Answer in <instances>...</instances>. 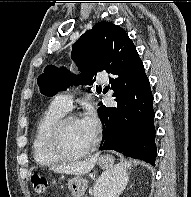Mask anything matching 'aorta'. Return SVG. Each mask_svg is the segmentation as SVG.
<instances>
[{"instance_id": "1", "label": "aorta", "mask_w": 191, "mask_h": 197, "mask_svg": "<svg viewBox=\"0 0 191 197\" xmlns=\"http://www.w3.org/2000/svg\"><path fill=\"white\" fill-rule=\"evenodd\" d=\"M107 176L110 178L109 174H107ZM100 183H101V181H99V183L97 184L99 188H100ZM100 195H101V192H100V189H99L98 192H96V197L100 196Z\"/></svg>"}]
</instances>
